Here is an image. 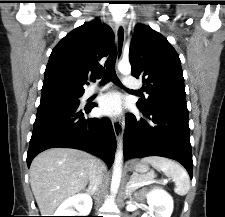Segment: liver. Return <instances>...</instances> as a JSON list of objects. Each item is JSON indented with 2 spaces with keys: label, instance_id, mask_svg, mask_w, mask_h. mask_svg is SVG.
I'll return each instance as SVG.
<instances>
[{
  "label": "liver",
  "instance_id": "obj_1",
  "mask_svg": "<svg viewBox=\"0 0 225 217\" xmlns=\"http://www.w3.org/2000/svg\"><path fill=\"white\" fill-rule=\"evenodd\" d=\"M92 163L90 154L71 148H51L33 159L30 185L42 216H52L64 200L85 189Z\"/></svg>",
  "mask_w": 225,
  "mask_h": 217
}]
</instances>
